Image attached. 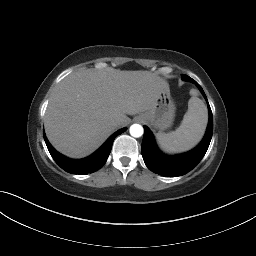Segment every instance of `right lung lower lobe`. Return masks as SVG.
Wrapping results in <instances>:
<instances>
[{
    "mask_svg": "<svg viewBox=\"0 0 256 256\" xmlns=\"http://www.w3.org/2000/svg\"><path fill=\"white\" fill-rule=\"evenodd\" d=\"M126 129L127 128H122L116 131L95 153L84 159L79 160H74L63 156L51 146L45 136V133H43V136L47 148L55 162L66 172L82 175L87 173H93L99 170L105 164L110 154L114 139L119 134L126 131Z\"/></svg>",
    "mask_w": 256,
    "mask_h": 256,
    "instance_id": "1",
    "label": "right lung lower lobe"
}]
</instances>
